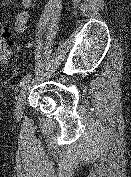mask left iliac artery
Wrapping results in <instances>:
<instances>
[{
    "instance_id": "44dca946",
    "label": "left iliac artery",
    "mask_w": 131,
    "mask_h": 177,
    "mask_svg": "<svg viewBox=\"0 0 131 177\" xmlns=\"http://www.w3.org/2000/svg\"><path fill=\"white\" fill-rule=\"evenodd\" d=\"M32 78L31 74H27L26 76H24L21 81H20V86L25 85L26 83H28Z\"/></svg>"
}]
</instances>
